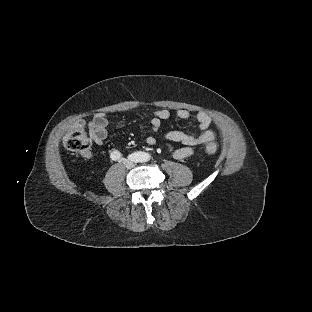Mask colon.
I'll return each instance as SVG.
<instances>
[{"label":"colon","mask_w":312,"mask_h":312,"mask_svg":"<svg viewBox=\"0 0 312 312\" xmlns=\"http://www.w3.org/2000/svg\"><path fill=\"white\" fill-rule=\"evenodd\" d=\"M93 144V140L82 129L72 131L66 137L67 148L74 153L86 155L89 153ZM218 145L214 142H208L205 146V151L208 154L217 152Z\"/></svg>","instance_id":"5ec220e1"}]
</instances>
